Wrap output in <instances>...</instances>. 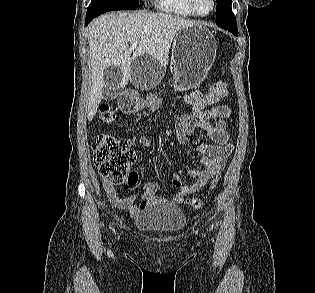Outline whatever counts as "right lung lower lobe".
Returning a JSON list of instances; mask_svg holds the SVG:
<instances>
[{
    "instance_id": "1",
    "label": "right lung lower lobe",
    "mask_w": 315,
    "mask_h": 293,
    "mask_svg": "<svg viewBox=\"0 0 315 293\" xmlns=\"http://www.w3.org/2000/svg\"><path fill=\"white\" fill-rule=\"evenodd\" d=\"M133 8L123 7L109 0H96L91 1V4L87 8L86 13V26L90 23V21L99 16L102 13L114 10H131Z\"/></svg>"
}]
</instances>
